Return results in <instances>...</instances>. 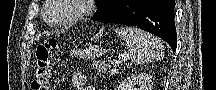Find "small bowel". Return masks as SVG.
I'll return each mask as SVG.
<instances>
[{
	"label": "small bowel",
	"mask_w": 216,
	"mask_h": 90,
	"mask_svg": "<svg viewBox=\"0 0 216 90\" xmlns=\"http://www.w3.org/2000/svg\"><path fill=\"white\" fill-rule=\"evenodd\" d=\"M72 83L75 90H93L91 85L88 84L85 76L80 73L72 75Z\"/></svg>",
	"instance_id": "obj_1"
}]
</instances>
